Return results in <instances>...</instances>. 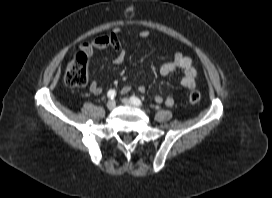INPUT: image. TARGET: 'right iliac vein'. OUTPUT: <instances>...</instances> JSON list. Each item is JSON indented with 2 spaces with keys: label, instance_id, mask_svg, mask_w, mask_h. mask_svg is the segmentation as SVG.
I'll list each match as a JSON object with an SVG mask.
<instances>
[{
  "label": "right iliac vein",
  "instance_id": "63e3f726",
  "mask_svg": "<svg viewBox=\"0 0 272 198\" xmlns=\"http://www.w3.org/2000/svg\"><path fill=\"white\" fill-rule=\"evenodd\" d=\"M115 107H116V102H115L114 100H109V101L107 102V108H108L109 110H113Z\"/></svg>",
  "mask_w": 272,
  "mask_h": 198
}]
</instances>
